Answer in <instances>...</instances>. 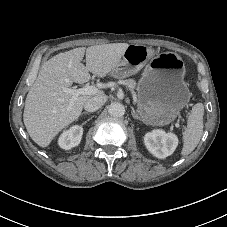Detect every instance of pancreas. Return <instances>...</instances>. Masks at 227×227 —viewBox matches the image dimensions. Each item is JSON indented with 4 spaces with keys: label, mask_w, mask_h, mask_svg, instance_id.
Wrapping results in <instances>:
<instances>
[{
    "label": "pancreas",
    "mask_w": 227,
    "mask_h": 227,
    "mask_svg": "<svg viewBox=\"0 0 227 227\" xmlns=\"http://www.w3.org/2000/svg\"><path fill=\"white\" fill-rule=\"evenodd\" d=\"M124 83L130 91H134V89L136 87V81L135 80L127 79V80H124Z\"/></svg>",
    "instance_id": "1"
}]
</instances>
